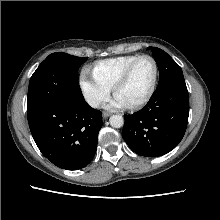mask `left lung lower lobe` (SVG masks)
Returning <instances> with one entry per match:
<instances>
[{"label":"left lung lower lobe","instance_id":"0a47b994","mask_svg":"<svg viewBox=\"0 0 220 220\" xmlns=\"http://www.w3.org/2000/svg\"><path fill=\"white\" fill-rule=\"evenodd\" d=\"M189 116V96L184 80L156 89L147 105L124 115L122 136L138 155L155 157L173 150L182 140Z\"/></svg>","mask_w":220,"mask_h":220}]
</instances>
